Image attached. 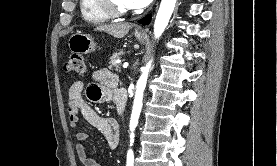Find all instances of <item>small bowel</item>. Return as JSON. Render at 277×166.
Returning <instances> with one entry per match:
<instances>
[{"label":"small bowel","instance_id":"obj_1","mask_svg":"<svg viewBox=\"0 0 277 166\" xmlns=\"http://www.w3.org/2000/svg\"><path fill=\"white\" fill-rule=\"evenodd\" d=\"M94 82L85 90L82 82H74L68 92V116L72 128H77L80 118H84L89 124L99 129L111 149H115L120 140V127L115 119L99 115L88 102L109 103L116 100L118 91V76L108 69H99L93 73ZM89 138L88 133L79 131L76 133L77 144L75 146L78 159L82 166H101L95 159L87 155L83 142Z\"/></svg>","mask_w":277,"mask_h":166}]
</instances>
